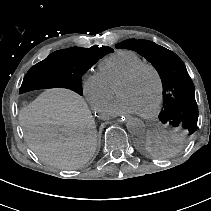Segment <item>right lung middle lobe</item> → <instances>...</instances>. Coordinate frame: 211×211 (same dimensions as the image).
Here are the masks:
<instances>
[{
	"mask_svg": "<svg viewBox=\"0 0 211 211\" xmlns=\"http://www.w3.org/2000/svg\"><path fill=\"white\" fill-rule=\"evenodd\" d=\"M108 53L104 49L80 47L53 52L30 68L24 77L21 93L61 87L82 95V76Z\"/></svg>",
	"mask_w": 211,
	"mask_h": 211,
	"instance_id": "right-lung-middle-lobe-1",
	"label": "right lung middle lobe"
}]
</instances>
